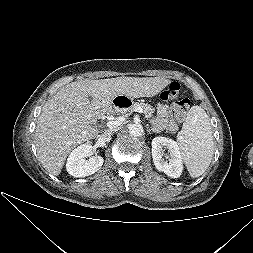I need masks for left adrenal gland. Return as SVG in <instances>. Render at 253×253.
Segmentation results:
<instances>
[{"mask_svg":"<svg viewBox=\"0 0 253 253\" xmlns=\"http://www.w3.org/2000/svg\"><path fill=\"white\" fill-rule=\"evenodd\" d=\"M148 131H149V132L152 131V132H154V133H159V132H160V131H159L158 129H156V128H151V129H149Z\"/></svg>","mask_w":253,"mask_h":253,"instance_id":"left-adrenal-gland-1","label":"left adrenal gland"}]
</instances>
